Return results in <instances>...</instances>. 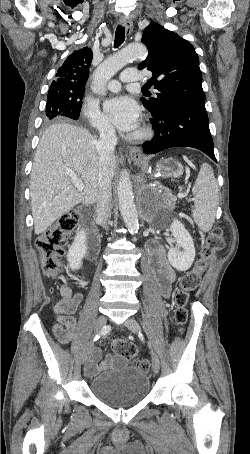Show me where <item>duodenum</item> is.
<instances>
[{
	"label": "duodenum",
	"mask_w": 250,
	"mask_h": 454,
	"mask_svg": "<svg viewBox=\"0 0 250 454\" xmlns=\"http://www.w3.org/2000/svg\"><path fill=\"white\" fill-rule=\"evenodd\" d=\"M82 225L85 231L86 244H87V257L91 260L94 259L99 247V233L94 226L93 210L86 207L81 212Z\"/></svg>",
	"instance_id": "410a0bca"
}]
</instances>
